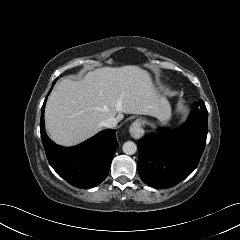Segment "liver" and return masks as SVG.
<instances>
[{
  "label": "liver",
  "instance_id": "6515ba94",
  "mask_svg": "<svg viewBox=\"0 0 240 240\" xmlns=\"http://www.w3.org/2000/svg\"><path fill=\"white\" fill-rule=\"evenodd\" d=\"M171 111L151 74L139 66L103 67L83 79L61 80L48 97L45 125L50 138L73 146L94 136L110 117L123 113L161 116Z\"/></svg>",
  "mask_w": 240,
  "mask_h": 240
}]
</instances>
